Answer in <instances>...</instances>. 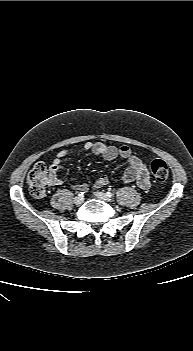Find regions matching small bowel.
<instances>
[{
  "mask_svg": "<svg viewBox=\"0 0 193 351\" xmlns=\"http://www.w3.org/2000/svg\"><path fill=\"white\" fill-rule=\"evenodd\" d=\"M80 152H90L107 161H113L118 157L125 159L128 162V165L123 171L122 180L125 183L136 182V184L143 190L150 187V178L145 164L140 158L132 154V151L128 146L124 145L116 147L102 142L91 141L86 142L80 151L63 149L56 153L50 165L51 185H61L64 183L63 179L58 176V172L62 169V159ZM108 183L109 178L107 176H101L96 180L93 187L98 189L106 186ZM75 188L82 192H87L89 189L87 184H78L75 185Z\"/></svg>",
  "mask_w": 193,
  "mask_h": 351,
  "instance_id": "small-bowel-1",
  "label": "small bowel"
}]
</instances>
